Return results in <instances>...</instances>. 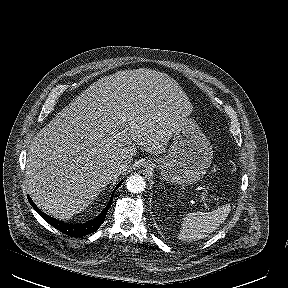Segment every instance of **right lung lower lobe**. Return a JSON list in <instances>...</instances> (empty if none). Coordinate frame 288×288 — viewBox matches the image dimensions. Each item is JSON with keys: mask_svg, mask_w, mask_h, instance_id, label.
I'll return each instance as SVG.
<instances>
[{"mask_svg": "<svg viewBox=\"0 0 288 288\" xmlns=\"http://www.w3.org/2000/svg\"><path fill=\"white\" fill-rule=\"evenodd\" d=\"M122 183V181H120L116 187V189L119 187V185ZM114 193L111 196L107 206L105 207V209L93 220L83 223V224H76V225H72V224H68V223H64L62 221H59L55 218H51L50 216L46 215L45 213H43L36 205L35 203L32 201V199L28 196V200L30 202V204L32 205V207L37 211V213L44 218L45 221H47L50 225H52L54 228L60 230L61 232H63L64 234L68 235V236H73V237H81V236H85L88 235L92 232H95L100 226L101 224L104 222L106 214L108 209L111 206L112 203V199H113Z\"/></svg>", "mask_w": 288, "mask_h": 288, "instance_id": "obj_1", "label": "right lung lower lobe"}]
</instances>
